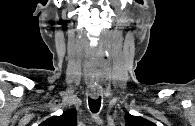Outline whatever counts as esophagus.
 Masks as SVG:
<instances>
[{
  "label": "esophagus",
  "instance_id": "1",
  "mask_svg": "<svg viewBox=\"0 0 195 126\" xmlns=\"http://www.w3.org/2000/svg\"><path fill=\"white\" fill-rule=\"evenodd\" d=\"M91 96L93 99H96L100 94V88L97 87H91Z\"/></svg>",
  "mask_w": 195,
  "mask_h": 126
}]
</instances>
